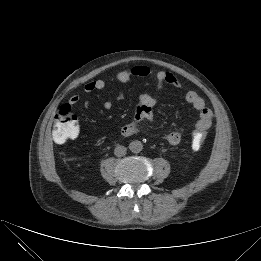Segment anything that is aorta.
<instances>
[{
    "instance_id": "obj_1",
    "label": "aorta",
    "mask_w": 261,
    "mask_h": 261,
    "mask_svg": "<svg viewBox=\"0 0 261 261\" xmlns=\"http://www.w3.org/2000/svg\"><path fill=\"white\" fill-rule=\"evenodd\" d=\"M129 149L133 153H139L143 149V144L141 141L134 140L129 144Z\"/></svg>"
}]
</instances>
